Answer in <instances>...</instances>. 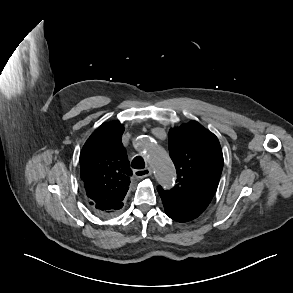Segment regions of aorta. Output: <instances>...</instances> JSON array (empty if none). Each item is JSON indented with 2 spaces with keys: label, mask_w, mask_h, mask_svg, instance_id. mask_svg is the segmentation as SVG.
Listing matches in <instances>:
<instances>
[{
  "label": "aorta",
  "mask_w": 293,
  "mask_h": 293,
  "mask_svg": "<svg viewBox=\"0 0 293 293\" xmlns=\"http://www.w3.org/2000/svg\"><path fill=\"white\" fill-rule=\"evenodd\" d=\"M141 151L152 165L157 182L165 189L171 188L176 172L167 152L149 138L143 139Z\"/></svg>",
  "instance_id": "762f6f07"
}]
</instances>
